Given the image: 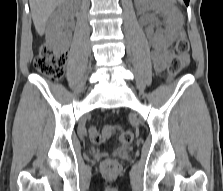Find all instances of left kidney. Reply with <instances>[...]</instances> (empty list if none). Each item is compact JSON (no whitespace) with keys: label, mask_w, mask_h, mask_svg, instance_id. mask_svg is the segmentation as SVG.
Instances as JSON below:
<instances>
[{"label":"left kidney","mask_w":223,"mask_h":191,"mask_svg":"<svg viewBox=\"0 0 223 191\" xmlns=\"http://www.w3.org/2000/svg\"><path fill=\"white\" fill-rule=\"evenodd\" d=\"M136 6L139 10L153 8L162 13L165 27H160L155 32L152 27H149L147 33L154 45H171L183 24L181 13L171 3L165 0H136Z\"/></svg>","instance_id":"5707ae66"}]
</instances>
